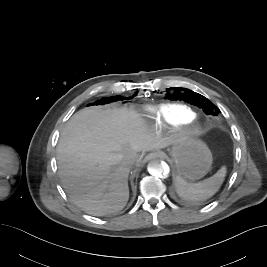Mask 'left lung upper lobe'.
<instances>
[{"instance_id": "1", "label": "left lung upper lobe", "mask_w": 267, "mask_h": 267, "mask_svg": "<svg viewBox=\"0 0 267 267\" xmlns=\"http://www.w3.org/2000/svg\"><path fill=\"white\" fill-rule=\"evenodd\" d=\"M164 98L168 102L178 103L189 108H202L208 115L217 116L220 110L207 98L189 89L180 87H168L164 91Z\"/></svg>"}]
</instances>
